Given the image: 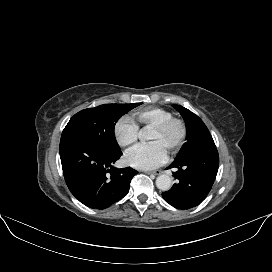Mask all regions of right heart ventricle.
I'll return each instance as SVG.
<instances>
[{
	"mask_svg": "<svg viewBox=\"0 0 272 272\" xmlns=\"http://www.w3.org/2000/svg\"><path fill=\"white\" fill-rule=\"evenodd\" d=\"M171 117L172 113L169 110L156 106L140 108L132 113V119L136 126L142 128H153Z\"/></svg>",
	"mask_w": 272,
	"mask_h": 272,
	"instance_id": "1",
	"label": "right heart ventricle"
}]
</instances>
